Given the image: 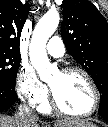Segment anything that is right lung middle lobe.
Returning <instances> with one entry per match:
<instances>
[{
  "mask_svg": "<svg viewBox=\"0 0 108 127\" xmlns=\"http://www.w3.org/2000/svg\"><path fill=\"white\" fill-rule=\"evenodd\" d=\"M20 54L0 51V83L15 87Z\"/></svg>",
  "mask_w": 108,
  "mask_h": 127,
  "instance_id": "1",
  "label": "right lung middle lobe"
}]
</instances>
